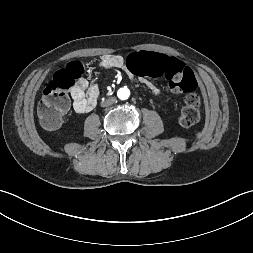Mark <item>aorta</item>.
<instances>
[{
	"mask_svg": "<svg viewBox=\"0 0 253 253\" xmlns=\"http://www.w3.org/2000/svg\"><path fill=\"white\" fill-rule=\"evenodd\" d=\"M130 95V91L127 89V88H121L119 89L118 91V97L121 99V100H125L129 97Z\"/></svg>",
	"mask_w": 253,
	"mask_h": 253,
	"instance_id": "obj_1",
	"label": "aorta"
}]
</instances>
